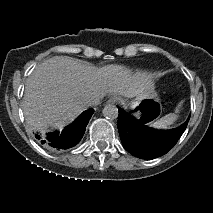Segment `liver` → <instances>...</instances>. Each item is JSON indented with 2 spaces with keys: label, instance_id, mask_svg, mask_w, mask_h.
Masks as SVG:
<instances>
[{
  "label": "liver",
  "instance_id": "6515ba94",
  "mask_svg": "<svg viewBox=\"0 0 213 213\" xmlns=\"http://www.w3.org/2000/svg\"><path fill=\"white\" fill-rule=\"evenodd\" d=\"M148 82L115 66L96 69L81 60L55 56L37 66L28 80L24 108L38 129L62 126L88 107L93 96L119 93L135 95Z\"/></svg>",
  "mask_w": 213,
  "mask_h": 213
}]
</instances>
